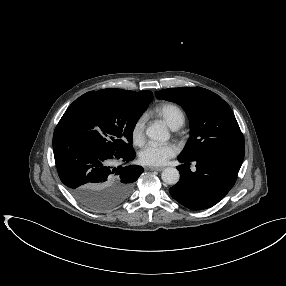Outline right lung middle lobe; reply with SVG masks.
Segmentation results:
<instances>
[{
	"label": "right lung middle lobe",
	"mask_w": 286,
	"mask_h": 286,
	"mask_svg": "<svg viewBox=\"0 0 286 286\" xmlns=\"http://www.w3.org/2000/svg\"><path fill=\"white\" fill-rule=\"evenodd\" d=\"M148 105L104 90L90 91L75 100L59 122L108 153L129 152L134 127Z\"/></svg>",
	"instance_id": "1"
}]
</instances>
